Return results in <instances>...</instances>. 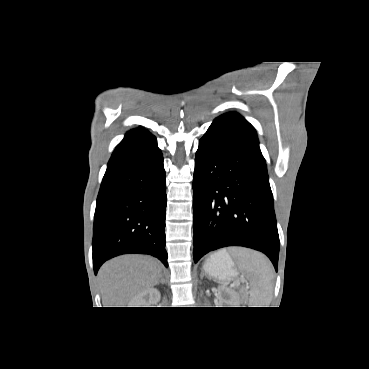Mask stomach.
<instances>
[{
  "label": "stomach",
  "mask_w": 369,
  "mask_h": 369,
  "mask_svg": "<svg viewBox=\"0 0 369 369\" xmlns=\"http://www.w3.org/2000/svg\"><path fill=\"white\" fill-rule=\"evenodd\" d=\"M206 273L219 280H232L238 272L235 264L226 250H220L208 258L204 264Z\"/></svg>",
  "instance_id": "obj_1"
}]
</instances>
